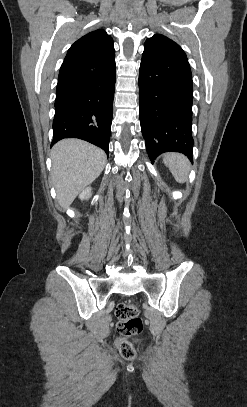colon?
Returning <instances> with one entry per match:
<instances>
[{
    "mask_svg": "<svg viewBox=\"0 0 247 407\" xmlns=\"http://www.w3.org/2000/svg\"><path fill=\"white\" fill-rule=\"evenodd\" d=\"M117 331L119 338L116 346L121 356L127 360L135 358L136 352L129 338L138 335L143 330V321L138 316V308L133 303H120L116 308Z\"/></svg>",
    "mask_w": 247,
    "mask_h": 407,
    "instance_id": "1",
    "label": "colon"
}]
</instances>
